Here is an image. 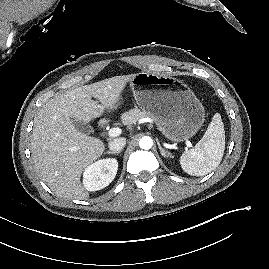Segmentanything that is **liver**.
<instances>
[{"mask_svg":"<svg viewBox=\"0 0 269 269\" xmlns=\"http://www.w3.org/2000/svg\"><path fill=\"white\" fill-rule=\"evenodd\" d=\"M135 75L114 76L77 87L50 99L38 112L32 131V160L38 175L56 195L88 198L80 181L82 171L105 150L102 140L79 131L71 120L88 124L105 110L114 109Z\"/></svg>","mask_w":269,"mask_h":269,"instance_id":"liver-1","label":"liver"}]
</instances>
